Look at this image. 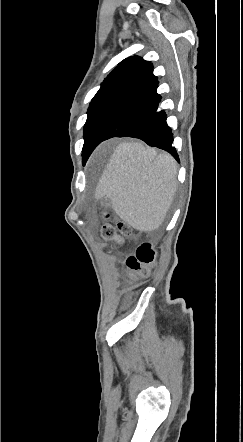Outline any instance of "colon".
<instances>
[{"label":"colon","instance_id":"colon-1","mask_svg":"<svg viewBox=\"0 0 243 442\" xmlns=\"http://www.w3.org/2000/svg\"><path fill=\"white\" fill-rule=\"evenodd\" d=\"M102 237L107 242L124 244L131 234L130 227L119 222L111 225L105 224L101 230ZM155 260V251L150 244H142L133 255L127 257L125 264L129 269L132 277H143L148 274L149 266Z\"/></svg>","mask_w":243,"mask_h":442}]
</instances>
